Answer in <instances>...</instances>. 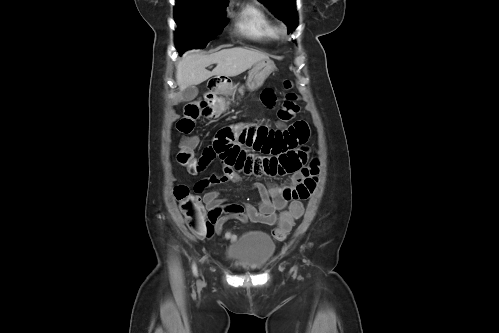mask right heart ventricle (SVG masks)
Listing matches in <instances>:
<instances>
[{
	"label": "right heart ventricle",
	"mask_w": 499,
	"mask_h": 333,
	"mask_svg": "<svg viewBox=\"0 0 499 333\" xmlns=\"http://www.w3.org/2000/svg\"><path fill=\"white\" fill-rule=\"evenodd\" d=\"M236 27L240 34L255 42L266 43L278 37L275 21L257 3H248L240 9L236 18Z\"/></svg>",
	"instance_id": "obj_1"
}]
</instances>
